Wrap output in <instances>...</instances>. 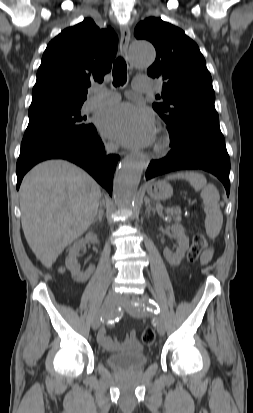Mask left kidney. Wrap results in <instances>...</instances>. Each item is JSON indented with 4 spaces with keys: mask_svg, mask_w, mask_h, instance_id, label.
I'll return each instance as SVG.
<instances>
[{
    "mask_svg": "<svg viewBox=\"0 0 253 413\" xmlns=\"http://www.w3.org/2000/svg\"><path fill=\"white\" fill-rule=\"evenodd\" d=\"M171 231L172 236L177 239L178 247L174 254L168 249H164L163 255L170 265L176 266L181 263L186 250L189 248V238L185 235V230L180 224H173L171 226Z\"/></svg>",
    "mask_w": 253,
    "mask_h": 413,
    "instance_id": "left-kidney-1",
    "label": "left kidney"
}]
</instances>
